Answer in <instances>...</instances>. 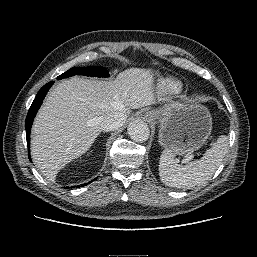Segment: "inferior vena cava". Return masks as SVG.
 Wrapping results in <instances>:
<instances>
[{
  "instance_id": "inferior-vena-cava-1",
  "label": "inferior vena cava",
  "mask_w": 257,
  "mask_h": 257,
  "mask_svg": "<svg viewBox=\"0 0 257 257\" xmlns=\"http://www.w3.org/2000/svg\"><path fill=\"white\" fill-rule=\"evenodd\" d=\"M126 115L121 112H114L108 114L101 119L100 126L102 131H113L118 129L124 124Z\"/></svg>"
}]
</instances>
